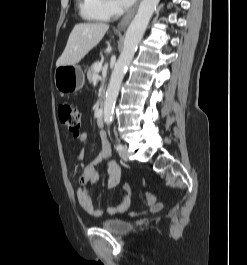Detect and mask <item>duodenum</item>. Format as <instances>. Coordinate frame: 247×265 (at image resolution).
I'll return each mask as SVG.
<instances>
[{"label":"duodenum","mask_w":247,"mask_h":265,"mask_svg":"<svg viewBox=\"0 0 247 265\" xmlns=\"http://www.w3.org/2000/svg\"><path fill=\"white\" fill-rule=\"evenodd\" d=\"M97 124L98 126H103L104 125V114L103 112H100L97 116Z\"/></svg>","instance_id":"410a0bca"}]
</instances>
